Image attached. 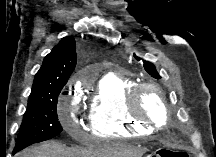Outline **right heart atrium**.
Segmentation results:
<instances>
[{
	"instance_id": "obj_1",
	"label": "right heart atrium",
	"mask_w": 216,
	"mask_h": 157,
	"mask_svg": "<svg viewBox=\"0 0 216 157\" xmlns=\"http://www.w3.org/2000/svg\"><path fill=\"white\" fill-rule=\"evenodd\" d=\"M78 103L72 100L69 104L68 111L61 115V123L63 127L69 132H75L80 128L81 121L77 118Z\"/></svg>"
}]
</instances>
